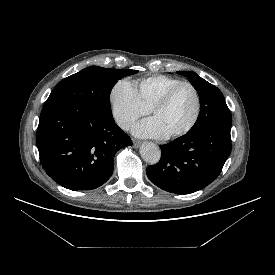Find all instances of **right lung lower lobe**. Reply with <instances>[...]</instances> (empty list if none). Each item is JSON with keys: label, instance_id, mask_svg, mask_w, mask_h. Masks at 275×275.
<instances>
[{"label": "right lung lower lobe", "instance_id": "obj_1", "mask_svg": "<svg viewBox=\"0 0 275 275\" xmlns=\"http://www.w3.org/2000/svg\"><path fill=\"white\" fill-rule=\"evenodd\" d=\"M46 173L70 190H92L112 175L114 156L131 146L112 115L80 104L42 109L36 135Z\"/></svg>", "mask_w": 275, "mask_h": 275}]
</instances>
